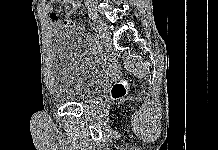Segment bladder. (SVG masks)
I'll return each mask as SVG.
<instances>
[{"instance_id":"1","label":"bladder","mask_w":218,"mask_h":150,"mask_svg":"<svg viewBox=\"0 0 218 150\" xmlns=\"http://www.w3.org/2000/svg\"><path fill=\"white\" fill-rule=\"evenodd\" d=\"M53 52L52 91L60 102L80 103L93 97L111 72L108 60L72 33H58Z\"/></svg>"}]
</instances>
